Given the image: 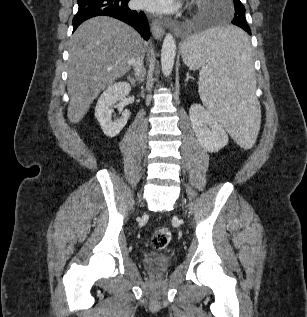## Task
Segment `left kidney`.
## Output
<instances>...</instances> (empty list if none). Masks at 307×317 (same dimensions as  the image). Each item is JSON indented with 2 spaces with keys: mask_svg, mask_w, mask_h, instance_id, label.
I'll list each match as a JSON object with an SVG mask.
<instances>
[{
  "mask_svg": "<svg viewBox=\"0 0 307 317\" xmlns=\"http://www.w3.org/2000/svg\"><path fill=\"white\" fill-rule=\"evenodd\" d=\"M189 115L196 137L207 151L216 152L227 145L226 130L202 105L193 104Z\"/></svg>",
  "mask_w": 307,
  "mask_h": 317,
  "instance_id": "5707ae66",
  "label": "left kidney"
}]
</instances>
